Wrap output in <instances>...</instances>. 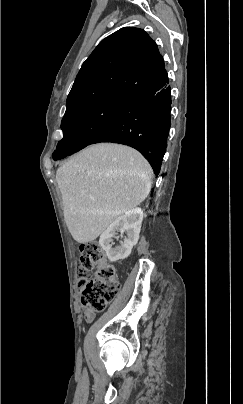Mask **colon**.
Instances as JSON below:
<instances>
[{"label": "colon", "instance_id": "1", "mask_svg": "<svg viewBox=\"0 0 243 404\" xmlns=\"http://www.w3.org/2000/svg\"><path fill=\"white\" fill-rule=\"evenodd\" d=\"M78 286L83 304L92 312L103 311L119 291L117 269L95 241L80 246ZM94 274L90 276V273Z\"/></svg>", "mask_w": 243, "mask_h": 404}]
</instances>
